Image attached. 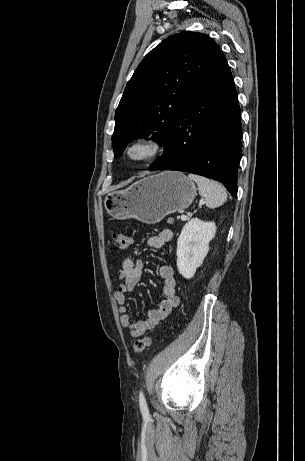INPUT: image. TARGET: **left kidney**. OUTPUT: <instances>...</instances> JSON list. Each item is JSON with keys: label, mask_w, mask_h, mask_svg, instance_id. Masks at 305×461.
<instances>
[{"label": "left kidney", "mask_w": 305, "mask_h": 461, "mask_svg": "<svg viewBox=\"0 0 305 461\" xmlns=\"http://www.w3.org/2000/svg\"><path fill=\"white\" fill-rule=\"evenodd\" d=\"M216 225L193 218L187 222L177 241V268L186 279H190L203 263L209 251V242L214 238Z\"/></svg>", "instance_id": "5707ae66"}]
</instances>
